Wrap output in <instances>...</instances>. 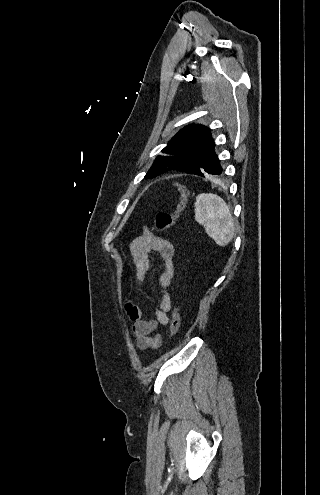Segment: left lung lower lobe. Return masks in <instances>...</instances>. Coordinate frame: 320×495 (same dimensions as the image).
Masks as SVG:
<instances>
[{
    "mask_svg": "<svg viewBox=\"0 0 320 495\" xmlns=\"http://www.w3.org/2000/svg\"><path fill=\"white\" fill-rule=\"evenodd\" d=\"M222 172L223 169L214 150L207 154L197 165L185 171L187 174H194L201 177L208 175H221Z\"/></svg>",
    "mask_w": 320,
    "mask_h": 495,
    "instance_id": "1",
    "label": "left lung lower lobe"
}]
</instances>
